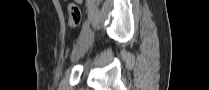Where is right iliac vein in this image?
<instances>
[{"mask_svg": "<svg viewBox=\"0 0 209 90\" xmlns=\"http://www.w3.org/2000/svg\"><path fill=\"white\" fill-rule=\"evenodd\" d=\"M93 42V32L90 31V33L87 35L83 43L80 45V47L74 51L71 55V61L76 62L78 61L91 47Z\"/></svg>", "mask_w": 209, "mask_h": 90, "instance_id": "obj_1", "label": "right iliac vein"}]
</instances>
